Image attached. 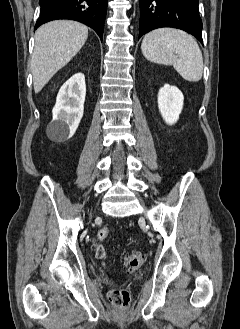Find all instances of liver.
<instances>
[{
  "mask_svg": "<svg viewBox=\"0 0 240 329\" xmlns=\"http://www.w3.org/2000/svg\"><path fill=\"white\" fill-rule=\"evenodd\" d=\"M88 38V28L78 22L56 20L35 33L31 72L35 93L80 51Z\"/></svg>",
  "mask_w": 240,
  "mask_h": 329,
  "instance_id": "1",
  "label": "liver"
}]
</instances>
